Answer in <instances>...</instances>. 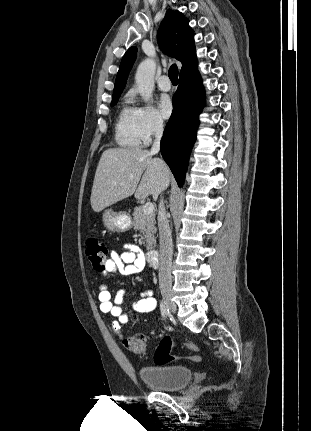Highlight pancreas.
<instances>
[{
    "label": "pancreas",
    "mask_w": 311,
    "mask_h": 431,
    "mask_svg": "<svg viewBox=\"0 0 311 431\" xmlns=\"http://www.w3.org/2000/svg\"><path fill=\"white\" fill-rule=\"evenodd\" d=\"M134 229H140L143 233V243L146 249H152L156 243L155 214H144L143 206H136L133 210Z\"/></svg>",
    "instance_id": "cf45deb5"
}]
</instances>
